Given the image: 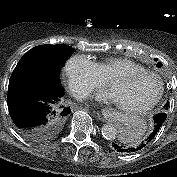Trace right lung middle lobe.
<instances>
[{"instance_id":"right-lung-middle-lobe-1","label":"right lung middle lobe","mask_w":177,"mask_h":177,"mask_svg":"<svg viewBox=\"0 0 177 177\" xmlns=\"http://www.w3.org/2000/svg\"><path fill=\"white\" fill-rule=\"evenodd\" d=\"M73 50V48L66 45H40L34 47L23 55L11 76L40 73L60 83V69Z\"/></svg>"}]
</instances>
